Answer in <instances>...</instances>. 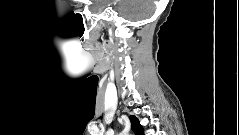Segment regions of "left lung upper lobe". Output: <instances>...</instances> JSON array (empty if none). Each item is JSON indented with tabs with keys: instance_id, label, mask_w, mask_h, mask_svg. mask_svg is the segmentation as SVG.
Wrapping results in <instances>:
<instances>
[{
	"instance_id": "5c2ea615",
	"label": "left lung upper lobe",
	"mask_w": 239,
	"mask_h": 135,
	"mask_svg": "<svg viewBox=\"0 0 239 135\" xmlns=\"http://www.w3.org/2000/svg\"><path fill=\"white\" fill-rule=\"evenodd\" d=\"M131 129L137 135H144L143 127L140 125L138 119L135 116H130Z\"/></svg>"
}]
</instances>
